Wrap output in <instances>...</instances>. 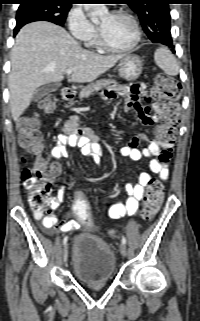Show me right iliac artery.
Segmentation results:
<instances>
[{"mask_svg": "<svg viewBox=\"0 0 200 321\" xmlns=\"http://www.w3.org/2000/svg\"><path fill=\"white\" fill-rule=\"evenodd\" d=\"M67 240H68V237L65 236L64 239H63V244H64V245L67 243Z\"/></svg>", "mask_w": 200, "mask_h": 321, "instance_id": "82829eb1", "label": "right iliac artery"}]
</instances>
